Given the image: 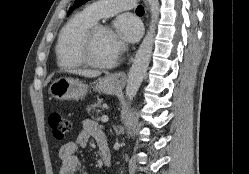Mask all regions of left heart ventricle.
<instances>
[{
	"label": "left heart ventricle",
	"instance_id": "left-heart-ventricle-1",
	"mask_svg": "<svg viewBox=\"0 0 249 174\" xmlns=\"http://www.w3.org/2000/svg\"><path fill=\"white\" fill-rule=\"evenodd\" d=\"M116 41L112 31H99L91 45V56L98 62H110L116 57Z\"/></svg>",
	"mask_w": 249,
	"mask_h": 174
}]
</instances>
